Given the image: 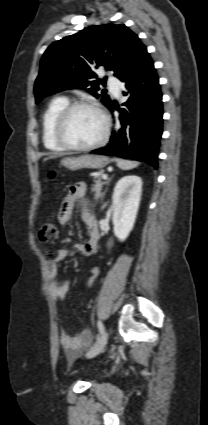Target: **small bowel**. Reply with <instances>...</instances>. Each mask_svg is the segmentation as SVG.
<instances>
[{
	"instance_id": "obj_1",
	"label": "small bowel",
	"mask_w": 208,
	"mask_h": 425,
	"mask_svg": "<svg viewBox=\"0 0 208 425\" xmlns=\"http://www.w3.org/2000/svg\"><path fill=\"white\" fill-rule=\"evenodd\" d=\"M86 191L87 186L83 182L72 185L59 213V222L61 224L68 223L71 220L76 203L82 201L80 217L87 227L89 239L85 243L74 244L72 248H61L57 250L55 258L48 261L49 293L57 301L64 300L70 288L69 282L59 280V263L71 256L81 255L87 257L95 254L97 251L99 228L97 219L91 212L89 205L83 201ZM60 343L67 357L73 359L90 344V333L83 331L78 336H71L66 331H62Z\"/></svg>"
}]
</instances>
